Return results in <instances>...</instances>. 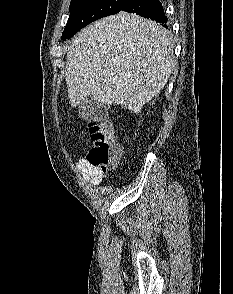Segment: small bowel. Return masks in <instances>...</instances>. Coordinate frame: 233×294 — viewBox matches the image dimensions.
<instances>
[{
  "mask_svg": "<svg viewBox=\"0 0 233 294\" xmlns=\"http://www.w3.org/2000/svg\"><path fill=\"white\" fill-rule=\"evenodd\" d=\"M78 166L92 184H98L102 180V173L90 166L86 159H81Z\"/></svg>",
  "mask_w": 233,
  "mask_h": 294,
  "instance_id": "1",
  "label": "small bowel"
}]
</instances>
